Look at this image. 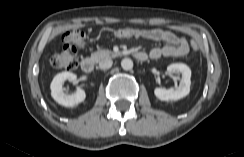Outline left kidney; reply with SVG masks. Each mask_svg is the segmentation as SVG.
<instances>
[{"instance_id":"1","label":"left kidney","mask_w":244,"mask_h":157,"mask_svg":"<svg viewBox=\"0 0 244 157\" xmlns=\"http://www.w3.org/2000/svg\"><path fill=\"white\" fill-rule=\"evenodd\" d=\"M168 72L176 71L181 73V80L179 86L175 89H165V88H155L154 94L155 96L161 101H176L185 96H187L190 92V85H191V70L190 68L183 63H174L167 66Z\"/></svg>"}]
</instances>
